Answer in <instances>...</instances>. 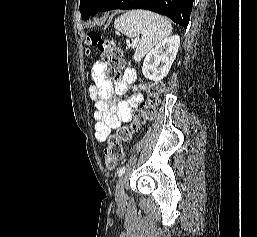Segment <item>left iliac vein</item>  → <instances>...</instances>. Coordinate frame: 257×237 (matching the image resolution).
Segmentation results:
<instances>
[{"label":"left iliac vein","instance_id":"1","mask_svg":"<svg viewBox=\"0 0 257 237\" xmlns=\"http://www.w3.org/2000/svg\"><path fill=\"white\" fill-rule=\"evenodd\" d=\"M125 183H126V175L119 178L116 185L115 197L117 201H123L125 199Z\"/></svg>","mask_w":257,"mask_h":237}]
</instances>
